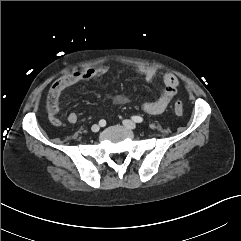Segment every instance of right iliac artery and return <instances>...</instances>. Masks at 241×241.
<instances>
[{"label":"right iliac artery","instance_id":"obj_1","mask_svg":"<svg viewBox=\"0 0 241 241\" xmlns=\"http://www.w3.org/2000/svg\"><path fill=\"white\" fill-rule=\"evenodd\" d=\"M99 125L101 126V127H104L105 125H106V121L105 120H100L99 121Z\"/></svg>","mask_w":241,"mask_h":241}]
</instances>
